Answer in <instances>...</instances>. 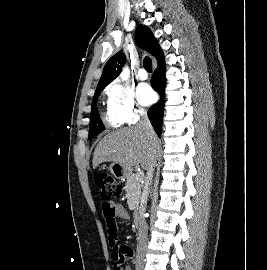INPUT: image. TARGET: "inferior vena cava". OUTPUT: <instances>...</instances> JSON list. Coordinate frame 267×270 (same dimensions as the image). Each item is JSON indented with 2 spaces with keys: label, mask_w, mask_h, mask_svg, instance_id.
<instances>
[{
  "label": "inferior vena cava",
  "mask_w": 267,
  "mask_h": 270,
  "mask_svg": "<svg viewBox=\"0 0 267 270\" xmlns=\"http://www.w3.org/2000/svg\"><path fill=\"white\" fill-rule=\"evenodd\" d=\"M138 126L144 130V132L152 139L155 136V132L152 128V125L148 119V116L145 112H142L140 114V121L138 123ZM158 157V154L154 151V156L152 158V163L147 169V177L145 186L143 189L142 197H141V205L139 208V232H138V243H137V255H136V263L138 265H141L144 263V257H145V249L147 246V231L148 226L145 221V212H146V204L148 199V194L150 190V185L153 179L154 174V167L156 164V158Z\"/></svg>",
  "instance_id": "1"
}]
</instances>
